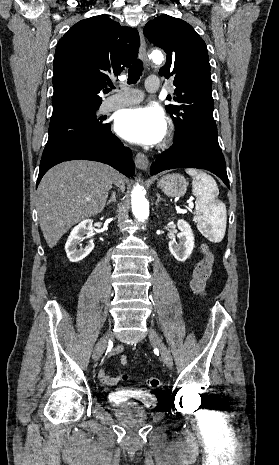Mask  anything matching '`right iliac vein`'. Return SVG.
Listing matches in <instances>:
<instances>
[{"label":"right iliac vein","mask_w":279,"mask_h":465,"mask_svg":"<svg viewBox=\"0 0 279 465\" xmlns=\"http://www.w3.org/2000/svg\"><path fill=\"white\" fill-rule=\"evenodd\" d=\"M111 332H107L97 343L96 350L94 353V359L97 361L101 358L106 348L108 340L111 338Z\"/></svg>","instance_id":"right-iliac-vein-1"}]
</instances>
